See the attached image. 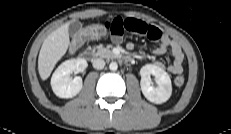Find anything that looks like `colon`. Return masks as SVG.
I'll list each match as a JSON object with an SVG mask.
<instances>
[{
  "label": "colon",
  "instance_id": "obj_1",
  "mask_svg": "<svg viewBox=\"0 0 231 134\" xmlns=\"http://www.w3.org/2000/svg\"><path fill=\"white\" fill-rule=\"evenodd\" d=\"M108 34L107 28L102 24H94L88 27L83 28L72 40L71 49L76 50L85 40L87 39H96L103 37ZM185 82L183 76H177L174 79L176 86H182Z\"/></svg>",
  "mask_w": 231,
  "mask_h": 134
}]
</instances>
